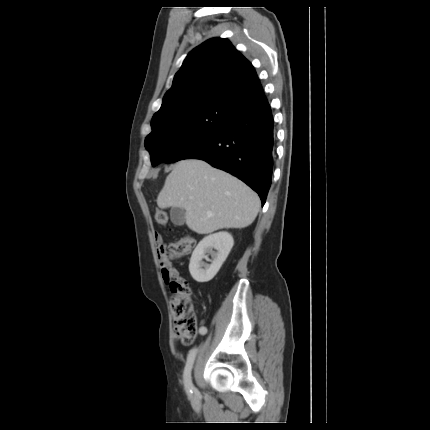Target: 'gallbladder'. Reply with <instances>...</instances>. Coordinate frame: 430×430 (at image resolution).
<instances>
[{
	"label": "gallbladder",
	"instance_id": "1",
	"mask_svg": "<svg viewBox=\"0 0 430 430\" xmlns=\"http://www.w3.org/2000/svg\"><path fill=\"white\" fill-rule=\"evenodd\" d=\"M186 211L183 208L172 207L170 210L171 221L176 226H182L185 223Z\"/></svg>",
	"mask_w": 430,
	"mask_h": 430
}]
</instances>
